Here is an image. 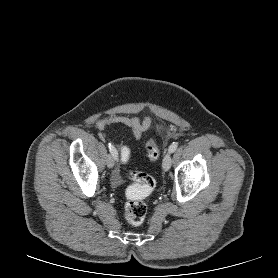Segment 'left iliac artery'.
<instances>
[{
  "mask_svg": "<svg viewBox=\"0 0 278 278\" xmlns=\"http://www.w3.org/2000/svg\"><path fill=\"white\" fill-rule=\"evenodd\" d=\"M178 147V143L177 142H173L170 146H169V152L173 153Z\"/></svg>",
  "mask_w": 278,
  "mask_h": 278,
  "instance_id": "left-iliac-artery-1",
  "label": "left iliac artery"
}]
</instances>
